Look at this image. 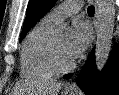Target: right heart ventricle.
Segmentation results:
<instances>
[{"instance_id": "e07e8e85", "label": "right heart ventricle", "mask_w": 119, "mask_h": 95, "mask_svg": "<svg viewBox=\"0 0 119 95\" xmlns=\"http://www.w3.org/2000/svg\"><path fill=\"white\" fill-rule=\"evenodd\" d=\"M54 21L42 18L30 31L21 51V74L30 79H48L55 73L50 58Z\"/></svg>"}]
</instances>
